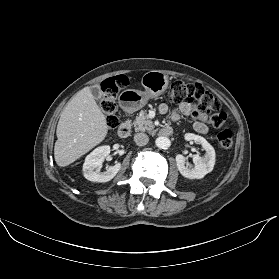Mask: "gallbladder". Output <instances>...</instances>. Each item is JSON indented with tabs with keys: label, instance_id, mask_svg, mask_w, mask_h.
Segmentation results:
<instances>
[{
	"label": "gallbladder",
	"instance_id": "obj_1",
	"mask_svg": "<svg viewBox=\"0 0 279 279\" xmlns=\"http://www.w3.org/2000/svg\"><path fill=\"white\" fill-rule=\"evenodd\" d=\"M91 92L94 98L98 101L102 100L103 93L98 85H94L91 87Z\"/></svg>",
	"mask_w": 279,
	"mask_h": 279
}]
</instances>
